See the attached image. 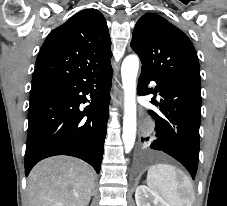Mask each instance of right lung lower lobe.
Masks as SVG:
<instances>
[{
  "label": "right lung lower lobe",
  "instance_id": "obj_1",
  "mask_svg": "<svg viewBox=\"0 0 227 206\" xmlns=\"http://www.w3.org/2000/svg\"><path fill=\"white\" fill-rule=\"evenodd\" d=\"M111 64L30 93L25 174L54 155L80 158L100 172L109 118ZM92 103L81 109L80 103ZM99 104V105H98Z\"/></svg>",
  "mask_w": 227,
  "mask_h": 206
}]
</instances>
